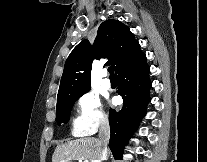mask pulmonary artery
<instances>
[{
	"label": "pulmonary artery",
	"mask_w": 207,
	"mask_h": 162,
	"mask_svg": "<svg viewBox=\"0 0 207 162\" xmlns=\"http://www.w3.org/2000/svg\"><path fill=\"white\" fill-rule=\"evenodd\" d=\"M102 76L104 77L103 81H102V86L104 89H110L111 88V82L109 79L106 78V71H104L102 73Z\"/></svg>",
	"instance_id": "1"
}]
</instances>
